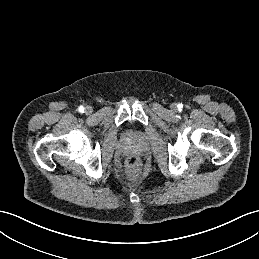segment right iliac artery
I'll return each instance as SVG.
<instances>
[{"instance_id":"1","label":"right iliac artery","mask_w":259,"mask_h":259,"mask_svg":"<svg viewBox=\"0 0 259 259\" xmlns=\"http://www.w3.org/2000/svg\"><path fill=\"white\" fill-rule=\"evenodd\" d=\"M78 111H79L80 113H84V107H83V106L78 107Z\"/></svg>"}]
</instances>
